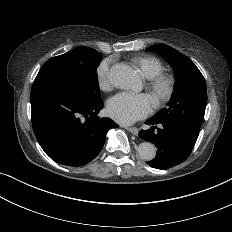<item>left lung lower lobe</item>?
Listing matches in <instances>:
<instances>
[{"label":"left lung lower lobe","instance_id":"left-lung-lower-lobe-1","mask_svg":"<svg viewBox=\"0 0 232 232\" xmlns=\"http://www.w3.org/2000/svg\"><path fill=\"white\" fill-rule=\"evenodd\" d=\"M145 123L152 127L148 130H141L139 137L153 143L158 149L155 158L146 162L149 166L168 169L184 162L189 157L198 135L171 121H157L150 118Z\"/></svg>","mask_w":232,"mask_h":232}]
</instances>
